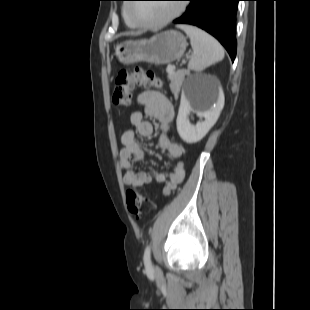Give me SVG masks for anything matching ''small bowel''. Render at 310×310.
<instances>
[{"label":"small bowel","mask_w":310,"mask_h":310,"mask_svg":"<svg viewBox=\"0 0 310 310\" xmlns=\"http://www.w3.org/2000/svg\"><path fill=\"white\" fill-rule=\"evenodd\" d=\"M138 103L142 111H134L130 115V123L135 131L127 130L121 136L120 166L125 171L123 182L127 186L138 189L155 181L162 183V194L170 196L185 178V166L181 161L183 147L179 142L172 141L168 135L169 125L174 118V108L171 102L159 91L144 90L138 95ZM153 118L160 125L158 138L159 147L168 152L177 161L172 167L161 172H136L135 164L145 159V152L136 139V134L149 137L153 133V124L146 118Z\"/></svg>","instance_id":"small-bowel-1"}]
</instances>
